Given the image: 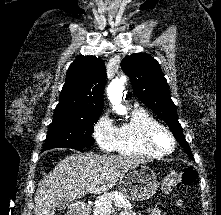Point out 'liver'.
Instances as JSON below:
<instances>
[{
	"label": "liver",
	"mask_w": 221,
	"mask_h": 215,
	"mask_svg": "<svg viewBox=\"0 0 221 215\" xmlns=\"http://www.w3.org/2000/svg\"><path fill=\"white\" fill-rule=\"evenodd\" d=\"M143 163L138 158L92 152L67 156L39 182L34 195L35 215H55L60 200L105 193L125 172Z\"/></svg>",
	"instance_id": "liver-1"
}]
</instances>
